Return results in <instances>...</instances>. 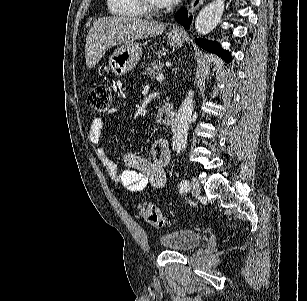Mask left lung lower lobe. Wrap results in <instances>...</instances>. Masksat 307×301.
Wrapping results in <instances>:
<instances>
[{
    "mask_svg": "<svg viewBox=\"0 0 307 301\" xmlns=\"http://www.w3.org/2000/svg\"><path fill=\"white\" fill-rule=\"evenodd\" d=\"M177 22L183 25L185 28L189 29L191 23V17L187 19V10L182 8L176 14ZM196 43L202 48L214 52L224 58L226 61H230L231 57L227 51H224L217 42L208 41L202 38L196 39Z\"/></svg>",
    "mask_w": 307,
    "mask_h": 301,
    "instance_id": "0a47b994",
    "label": "left lung lower lobe"
}]
</instances>
